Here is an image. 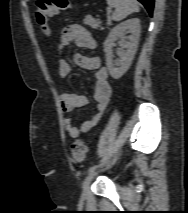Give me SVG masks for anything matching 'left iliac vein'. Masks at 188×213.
Here are the masks:
<instances>
[{
	"label": "left iliac vein",
	"mask_w": 188,
	"mask_h": 213,
	"mask_svg": "<svg viewBox=\"0 0 188 213\" xmlns=\"http://www.w3.org/2000/svg\"><path fill=\"white\" fill-rule=\"evenodd\" d=\"M119 154L115 155V157L106 165V169L110 168L111 166H113L117 159H118ZM97 175V172H91L87 175V177L85 178L82 188H83V195L86 196L89 192V188H90V184L93 180V178Z\"/></svg>",
	"instance_id": "1"
}]
</instances>
